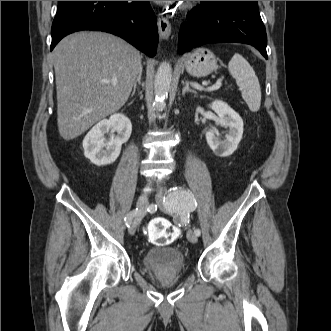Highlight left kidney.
<instances>
[{
    "label": "left kidney",
    "instance_id": "obj_1",
    "mask_svg": "<svg viewBox=\"0 0 331 331\" xmlns=\"http://www.w3.org/2000/svg\"><path fill=\"white\" fill-rule=\"evenodd\" d=\"M210 108L218 115V124L228 128L224 140L219 138L215 128L206 132V140L212 151L220 157L231 155L236 149L243 135V120L227 103L216 100Z\"/></svg>",
    "mask_w": 331,
    "mask_h": 331
}]
</instances>
